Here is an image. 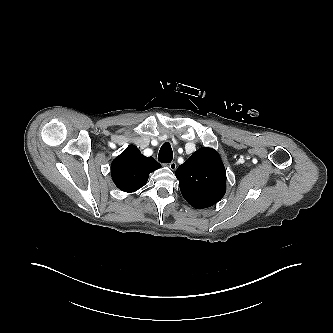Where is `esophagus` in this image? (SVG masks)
I'll return each instance as SVG.
<instances>
[{"mask_svg":"<svg viewBox=\"0 0 333 333\" xmlns=\"http://www.w3.org/2000/svg\"><path fill=\"white\" fill-rule=\"evenodd\" d=\"M168 166L171 170H176V168H177V164L174 161L169 163Z\"/></svg>","mask_w":333,"mask_h":333,"instance_id":"obj_1","label":"esophagus"}]
</instances>
